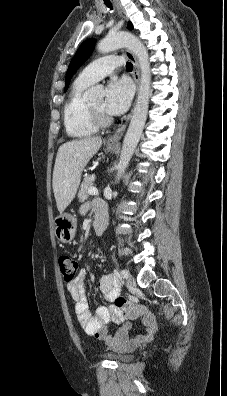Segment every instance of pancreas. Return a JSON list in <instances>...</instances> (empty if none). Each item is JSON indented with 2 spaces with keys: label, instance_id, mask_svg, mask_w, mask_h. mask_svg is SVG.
<instances>
[{
  "label": "pancreas",
  "instance_id": "1",
  "mask_svg": "<svg viewBox=\"0 0 227 396\" xmlns=\"http://www.w3.org/2000/svg\"><path fill=\"white\" fill-rule=\"evenodd\" d=\"M90 187H94V179L90 176L84 178V181L81 184V189L78 194V198L80 202L86 200L89 196L88 189Z\"/></svg>",
  "mask_w": 227,
  "mask_h": 396
}]
</instances>
